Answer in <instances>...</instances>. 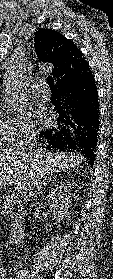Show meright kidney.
Wrapping results in <instances>:
<instances>
[{
    "label": "right kidney",
    "mask_w": 113,
    "mask_h": 279,
    "mask_svg": "<svg viewBox=\"0 0 113 279\" xmlns=\"http://www.w3.org/2000/svg\"><path fill=\"white\" fill-rule=\"evenodd\" d=\"M71 195L67 187L53 189L47 195V202L53 211V217L57 223L63 221L66 215H68Z\"/></svg>",
    "instance_id": "1"
}]
</instances>
